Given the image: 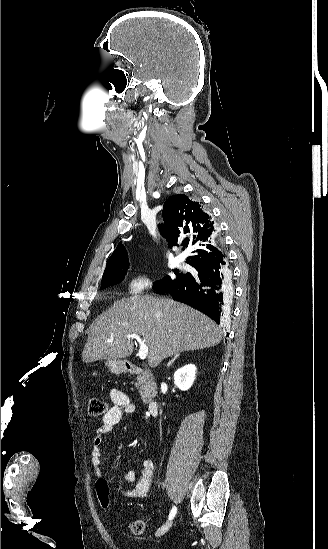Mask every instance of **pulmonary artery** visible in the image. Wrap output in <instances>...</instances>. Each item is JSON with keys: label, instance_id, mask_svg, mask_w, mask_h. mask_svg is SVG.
I'll return each mask as SVG.
<instances>
[{"label": "pulmonary artery", "instance_id": "obj_1", "mask_svg": "<svg viewBox=\"0 0 328 549\" xmlns=\"http://www.w3.org/2000/svg\"><path fill=\"white\" fill-rule=\"evenodd\" d=\"M176 264H177V266L180 267V268H185V267L188 266V264H187V262H186V259H185L184 257H182V256L177 257V259H176Z\"/></svg>", "mask_w": 328, "mask_h": 549}]
</instances>
